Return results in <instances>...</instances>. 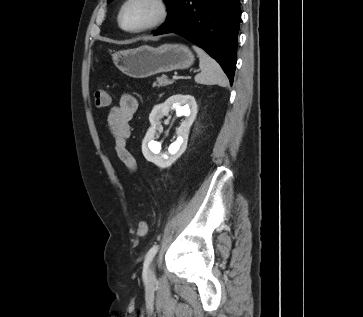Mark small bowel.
Here are the masks:
<instances>
[{
	"label": "small bowel",
	"instance_id": "small-bowel-1",
	"mask_svg": "<svg viewBox=\"0 0 363 317\" xmlns=\"http://www.w3.org/2000/svg\"><path fill=\"white\" fill-rule=\"evenodd\" d=\"M138 105L135 96L125 93L118 104L110 109L107 120L109 131L113 137L114 151L129 171L136 169V161L127 148V140L131 136L130 123Z\"/></svg>",
	"mask_w": 363,
	"mask_h": 317
}]
</instances>
